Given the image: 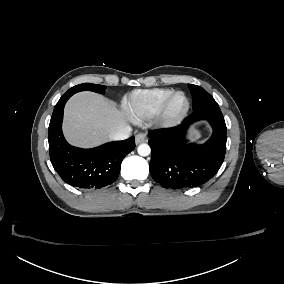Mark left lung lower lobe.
Masks as SVG:
<instances>
[{
  "label": "left lung lower lobe",
  "mask_w": 284,
  "mask_h": 284,
  "mask_svg": "<svg viewBox=\"0 0 284 284\" xmlns=\"http://www.w3.org/2000/svg\"><path fill=\"white\" fill-rule=\"evenodd\" d=\"M198 120H207L213 134L204 145L188 144L185 133ZM149 137L150 174L166 189L197 187L210 180L224 161L226 124L218 105L193 110L179 126L149 132Z\"/></svg>",
  "instance_id": "0a47b994"
}]
</instances>
